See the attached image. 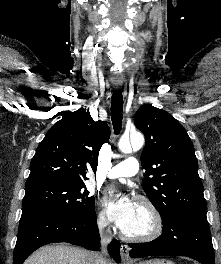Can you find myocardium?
I'll return each instance as SVG.
<instances>
[{
  "instance_id": "myocardium-1",
  "label": "myocardium",
  "mask_w": 221,
  "mask_h": 264,
  "mask_svg": "<svg viewBox=\"0 0 221 264\" xmlns=\"http://www.w3.org/2000/svg\"><path fill=\"white\" fill-rule=\"evenodd\" d=\"M138 204L144 207L149 213L152 221L151 228L148 232L144 234L132 235L126 233L124 230H121V235L123 239L130 242H150L157 239L163 231L164 222L162 215L158 208L150 200L146 198H141L138 201Z\"/></svg>"
}]
</instances>
